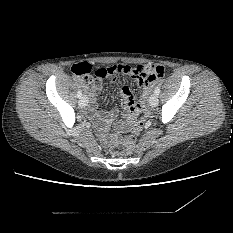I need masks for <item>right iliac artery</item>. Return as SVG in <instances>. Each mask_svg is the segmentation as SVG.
<instances>
[{
	"instance_id": "right-iliac-artery-1",
	"label": "right iliac artery",
	"mask_w": 233,
	"mask_h": 233,
	"mask_svg": "<svg viewBox=\"0 0 233 233\" xmlns=\"http://www.w3.org/2000/svg\"><path fill=\"white\" fill-rule=\"evenodd\" d=\"M82 95V91L79 89L78 92H77V97L80 98Z\"/></svg>"
}]
</instances>
